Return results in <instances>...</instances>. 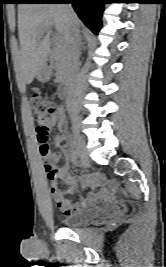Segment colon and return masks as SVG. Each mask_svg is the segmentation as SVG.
<instances>
[{"label": "colon", "mask_w": 166, "mask_h": 267, "mask_svg": "<svg viewBox=\"0 0 166 267\" xmlns=\"http://www.w3.org/2000/svg\"><path fill=\"white\" fill-rule=\"evenodd\" d=\"M30 102L36 121V135L40 152L44 157H48L49 147L47 145V121L57 113L58 108L54 100L44 98L39 93H34L30 97ZM44 168L49 179L57 178L58 170L51 162L46 161Z\"/></svg>", "instance_id": "5ec220e1"}]
</instances>
